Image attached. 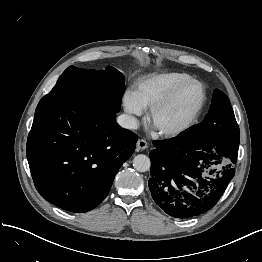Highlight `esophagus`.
I'll return each mask as SVG.
<instances>
[{
    "label": "esophagus",
    "instance_id": "1",
    "mask_svg": "<svg viewBox=\"0 0 262 262\" xmlns=\"http://www.w3.org/2000/svg\"><path fill=\"white\" fill-rule=\"evenodd\" d=\"M147 148H148V143H147L146 140H144V139H139V140L137 141V149H138V150H145V149H147Z\"/></svg>",
    "mask_w": 262,
    "mask_h": 262
}]
</instances>
